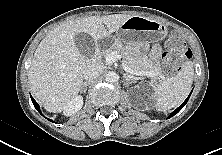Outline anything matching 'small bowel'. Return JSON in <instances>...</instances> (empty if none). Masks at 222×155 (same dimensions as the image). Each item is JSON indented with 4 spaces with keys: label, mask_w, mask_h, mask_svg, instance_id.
I'll use <instances>...</instances> for the list:
<instances>
[{
    "label": "small bowel",
    "mask_w": 222,
    "mask_h": 155,
    "mask_svg": "<svg viewBox=\"0 0 222 155\" xmlns=\"http://www.w3.org/2000/svg\"><path fill=\"white\" fill-rule=\"evenodd\" d=\"M157 53H158V49L155 48V49L153 50V54H157Z\"/></svg>",
    "instance_id": "obj_1"
}]
</instances>
